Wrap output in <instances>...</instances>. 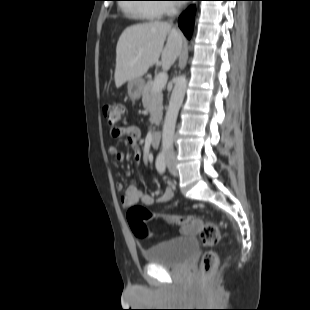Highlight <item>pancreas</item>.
<instances>
[{
  "label": "pancreas",
  "instance_id": "obj_1",
  "mask_svg": "<svg viewBox=\"0 0 310 310\" xmlns=\"http://www.w3.org/2000/svg\"><path fill=\"white\" fill-rule=\"evenodd\" d=\"M162 91H153V81L149 80L142 90V103L150 113L152 123L158 125L162 119Z\"/></svg>",
  "mask_w": 310,
  "mask_h": 310
}]
</instances>
